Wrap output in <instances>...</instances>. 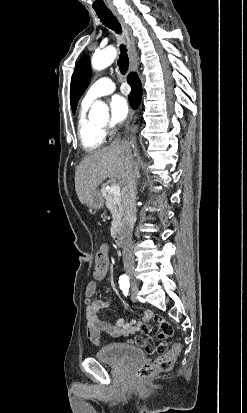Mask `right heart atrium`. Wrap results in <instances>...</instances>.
<instances>
[{
	"mask_svg": "<svg viewBox=\"0 0 247 413\" xmlns=\"http://www.w3.org/2000/svg\"><path fill=\"white\" fill-rule=\"evenodd\" d=\"M104 129H105V128H101V130H102L103 132H104Z\"/></svg>",
	"mask_w": 247,
	"mask_h": 413,
	"instance_id": "d8ad5b80",
	"label": "right heart atrium"
}]
</instances>
